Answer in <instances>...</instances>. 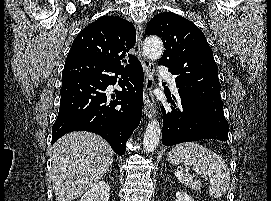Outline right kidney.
Wrapping results in <instances>:
<instances>
[{
    "instance_id": "ca27d5eb",
    "label": "right kidney",
    "mask_w": 271,
    "mask_h": 201,
    "mask_svg": "<svg viewBox=\"0 0 271 201\" xmlns=\"http://www.w3.org/2000/svg\"><path fill=\"white\" fill-rule=\"evenodd\" d=\"M110 187L105 181H100L88 190L80 201H109Z\"/></svg>"
}]
</instances>
